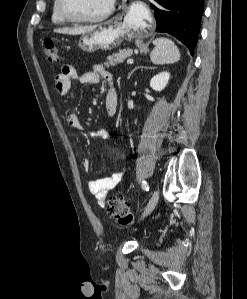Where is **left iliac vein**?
I'll use <instances>...</instances> for the list:
<instances>
[{
    "instance_id": "obj_1",
    "label": "left iliac vein",
    "mask_w": 247,
    "mask_h": 299,
    "mask_svg": "<svg viewBox=\"0 0 247 299\" xmlns=\"http://www.w3.org/2000/svg\"><path fill=\"white\" fill-rule=\"evenodd\" d=\"M158 199H159V192L157 190H155L153 192L145 210H144L143 217L147 216L148 214H150L153 211V209L157 205Z\"/></svg>"
}]
</instances>
